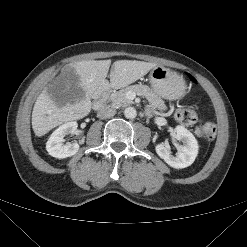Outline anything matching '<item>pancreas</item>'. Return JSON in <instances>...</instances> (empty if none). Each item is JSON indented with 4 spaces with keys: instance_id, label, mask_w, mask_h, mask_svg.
<instances>
[{
    "instance_id": "obj_1",
    "label": "pancreas",
    "mask_w": 247,
    "mask_h": 247,
    "mask_svg": "<svg viewBox=\"0 0 247 247\" xmlns=\"http://www.w3.org/2000/svg\"><path fill=\"white\" fill-rule=\"evenodd\" d=\"M128 92H134L137 95L144 96L150 103H152L153 106L158 108L161 112L166 110V106L163 101L158 99L148 86L142 84L131 85L120 91L113 92L109 97L111 106L114 108H119L132 104L133 101L127 97ZM163 116H165V114H163Z\"/></svg>"
}]
</instances>
